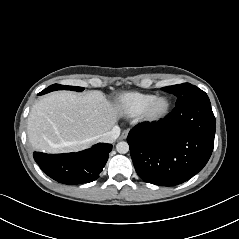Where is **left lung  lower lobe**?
I'll list each match as a JSON object with an SVG mask.
<instances>
[{
	"label": "left lung lower lobe",
	"instance_id": "0a47b994",
	"mask_svg": "<svg viewBox=\"0 0 239 239\" xmlns=\"http://www.w3.org/2000/svg\"><path fill=\"white\" fill-rule=\"evenodd\" d=\"M215 128L207 95L176 105L158 122L138 124L127 137L136 172L144 181L161 186L189 180L208 162Z\"/></svg>",
	"mask_w": 239,
	"mask_h": 239
}]
</instances>
